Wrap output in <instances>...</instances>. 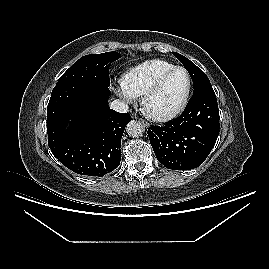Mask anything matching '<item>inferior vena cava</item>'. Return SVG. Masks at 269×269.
Segmentation results:
<instances>
[{
    "mask_svg": "<svg viewBox=\"0 0 269 269\" xmlns=\"http://www.w3.org/2000/svg\"><path fill=\"white\" fill-rule=\"evenodd\" d=\"M110 108L119 113H127L129 106L126 102L116 99L111 102Z\"/></svg>",
    "mask_w": 269,
    "mask_h": 269,
    "instance_id": "602c4592",
    "label": "inferior vena cava"
}]
</instances>
